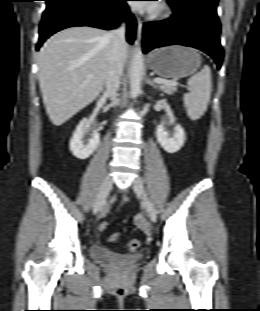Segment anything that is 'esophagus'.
<instances>
[{
  "mask_svg": "<svg viewBox=\"0 0 260 311\" xmlns=\"http://www.w3.org/2000/svg\"><path fill=\"white\" fill-rule=\"evenodd\" d=\"M137 20V39L140 40L142 36V20L140 17H136Z\"/></svg>",
  "mask_w": 260,
  "mask_h": 311,
  "instance_id": "1",
  "label": "esophagus"
}]
</instances>
